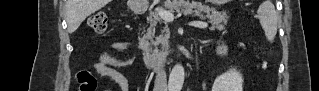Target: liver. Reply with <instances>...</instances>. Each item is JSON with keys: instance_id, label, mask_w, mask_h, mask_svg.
<instances>
[{"instance_id": "6515ba94", "label": "liver", "mask_w": 319, "mask_h": 91, "mask_svg": "<svg viewBox=\"0 0 319 91\" xmlns=\"http://www.w3.org/2000/svg\"><path fill=\"white\" fill-rule=\"evenodd\" d=\"M110 0H68L67 22L70 32H74L80 24L91 14L100 10Z\"/></svg>"}]
</instances>
